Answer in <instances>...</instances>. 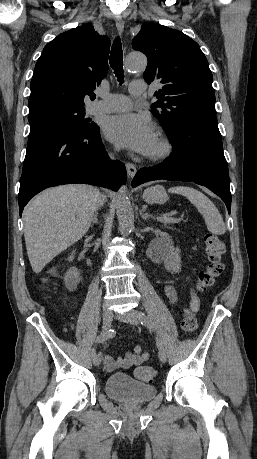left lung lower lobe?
<instances>
[{
	"mask_svg": "<svg viewBox=\"0 0 257 459\" xmlns=\"http://www.w3.org/2000/svg\"><path fill=\"white\" fill-rule=\"evenodd\" d=\"M172 154L160 165L142 168L131 185L152 180H178L206 186L231 208L230 181L215 115L191 117L166 133Z\"/></svg>",
	"mask_w": 257,
	"mask_h": 459,
	"instance_id": "0a47b994",
	"label": "left lung lower lobe"
}]
</instances>
